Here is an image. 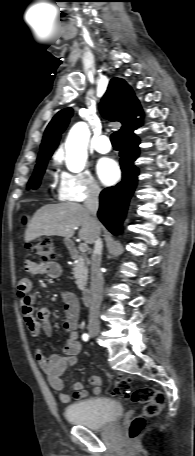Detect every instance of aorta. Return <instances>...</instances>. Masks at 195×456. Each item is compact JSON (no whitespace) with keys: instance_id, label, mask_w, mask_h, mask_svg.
Instances as JSON below:
<instances>
[{"instance_id":"obj_1","label":"aorta","mask_w":195,"mask_h":456,"mask_svg":"<svg viewBox=\"0 0 195 456\" xmlns=\"http://www.w3.org/2000/svg\"><path fill=\"white\" fill-rule=\"evenodd\" d=\"M89 138L90 130L85 122H78L71 128L65 143V162L69 171L79 173L85 168Z\"/></svg>"}]
</instances>
